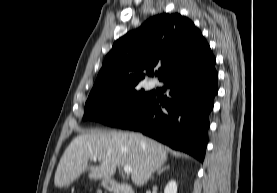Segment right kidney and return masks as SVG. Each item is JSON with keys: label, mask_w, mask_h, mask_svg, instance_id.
Here are the masks:
<instances>
[{"label": "right kidney", "mask_w": 277, "mask_h": 193, "mask_svg": "<svg viewBox=\"0 0 277 193\" xmlns=\"http://www.w3.org/2000/svg\"><path fill=\"white\" fill-rule=\"evenodd\" d=\"M164 193H177V183L171 180L165 187Z\"/></svg>", "instance_id": "ca27d5eb"}]
</instances>
